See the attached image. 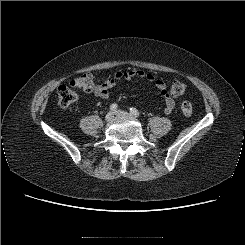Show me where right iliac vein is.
Returning <instances> with one entry per match:
<instances>
[{"label": "right iliac vein", "mask_w": 245, "mask_h": 245, "mask_svg": "<svg viewBox=\"0 0 245 245\" xmlns=\"http://www.w3.org/2000/svg\"><path fill=\"white\" fill-rule=\"evenodd\" d=\"M113 117H114L113 112H108V113L106 114V116H105V120H106V121H111V120L113 119Z\"/></svg>", "instance_id": "obj_1"}]
</instances>
